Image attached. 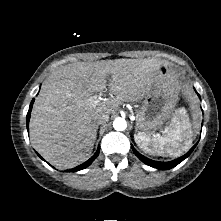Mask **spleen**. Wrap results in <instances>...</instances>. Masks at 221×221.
I'll return each mask as SVG.
<instances>
[{
    "instance_id": "1",
    "label": "spleen",
    "mask_w": 221,
    "mask_h": 221,
    "mask_svg": "<svg viewBox=\"0 0 221 221\" xmlns=\"http://www.w3.org/2000/svg\"><path fill=\"white\" fill-rule=\"evenodd\" d=\"M134 140L145 153L178 157L192 145V123L187 111L181 108L175 111L170 125L163 131V135L139 132L134 135Z\"/></svg>"
}]
</instances>
